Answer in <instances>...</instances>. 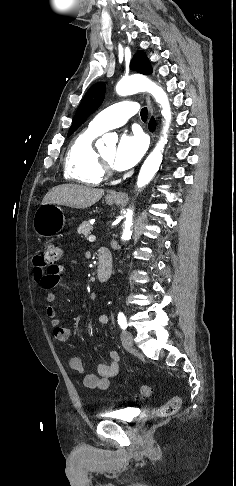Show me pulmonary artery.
<instances>
[{"label": "pulmonary artery", "instance_id": "e3ab8cb5", "mask_svg": "<svg viewBox=\"0 0 236 486\" xmlns=\"http://www.w3.org/2000/svg\"><path fill=\"white\" fill-rule=\"evenodd\" d=\"M138 111V105L133 101H122L109 106L97 114L89 123V128L96 133L124 125Z\"/></svg>", "mask_w": 236, "mask_h": 486}]
</instances>
